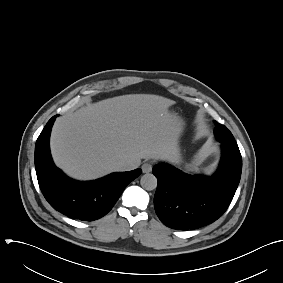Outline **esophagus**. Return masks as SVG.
Wrapping results in <instances>:
<instances>
[{
	"mask_svg": "<svg viewBox=\"0 0 283 283\" xmlns=\"http://www.w3.org/2000/svg\"><path fill=\"white\" fill-rule=\"evenodd\" d=\"M152 163L151 162H145L143 163V165L141 166L142 172L143 173H149L152 170Z\"/></svg>",
	"mask_w": 283,
	"mask_h": 283,
	"instance_id": "obj_1",
	"label": "esophagus"
}]
</instances>
